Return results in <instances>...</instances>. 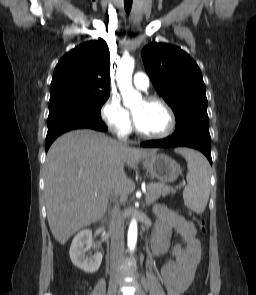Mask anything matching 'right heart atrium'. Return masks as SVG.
Wrapping results in <instances>:
<instances>
[{"label": "right heart atrium", "mask_w": 256, "mask_h": 295, "mask_svg": "<svg viewBox=\"0 0 256 295\" xmlns=\"http://www.w3.org/2000/svg\"><path fill=\"white\" fill-rule=\"evenodd\" d=\"M101 117L108 127L119 136H125L130 132V114L116 96H110L103 104Z\"/></svg>", "instance_id": "right-heart-atrium-1"}]
</instances>
